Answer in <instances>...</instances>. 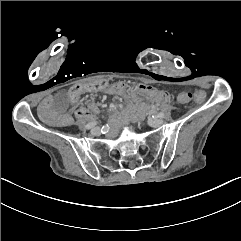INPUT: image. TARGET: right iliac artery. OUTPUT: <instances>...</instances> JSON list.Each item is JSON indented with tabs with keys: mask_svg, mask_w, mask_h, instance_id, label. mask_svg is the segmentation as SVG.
<instances>
[{
	"mask_svg": "<svg viewBox=\"0 0 241 241\" xmlns=\"http://www.w3.org/2000/svg\"><path fill=\"white\" fill-rule=\"evenodd\" d=\"M96 124H97L96 121L90 122L89 124H87L86 128L90 129V128L94 127Z\"/></svg>",
	"mask_w": 241,
	"mask_h": 241,
	"instance_id": "right-iliac-artery-1",
	"label": "right iliac artery"
}]
</instances>
